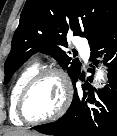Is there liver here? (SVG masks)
<instances>
[{
  "label": "liver",
  "instance_id": "6515ba94",
  "mask_svg": "<svg viewBox=\"0 0 117 136\" xmlns=\"http://www.w3.org/2000/svg\"><path fill=\"white\" fill-rule=\"evenodd\" d=\"M5 136H40L36 132L27 131L25 129H15L6 133Z\"/></svg>",
  "mask_w": 117,
  "mask_h": 136
}]
</instances>
